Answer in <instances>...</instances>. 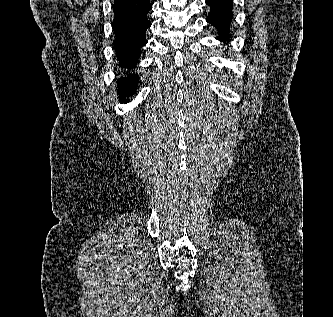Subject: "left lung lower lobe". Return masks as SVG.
Wrapping results in <instances>:
<instances>
[{
	"label": "left lung lower lobe",
	"instance_id": "1",
	"mask_svg": "<svg viewBox=\"0 0 333 317\" xmlns=\"http://www.w3.org/2000/svg\"><path fill=\"white\" fill-rule=\"evenodd\" d=\"M210 13L206 21L217 31V39L226 42L231 39L230 27L233 20V0H206Z\"/></svg>",
	"mask_w": 333,
	"mask_h": 317
}]
</instances>
